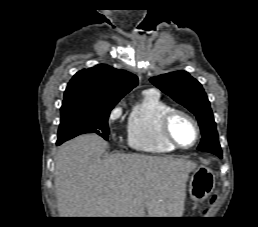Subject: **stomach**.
Segmentation results:
<instances>
[{"label":"stomach","mask_w":258,"mask_h":227,"mask_svg":"<svg viewBox=\"0 0 258 227\" xmlns=\"http://www.w3.org/2000/svg\"><path fill=\"white\" fill-rule=\"evenodd\" d=\"M215 188L214 172L206 166L194 170L189 181V194L193 201L206 199Z\"/></svg>","instance_id":"0dacf381"}]
</instances>
